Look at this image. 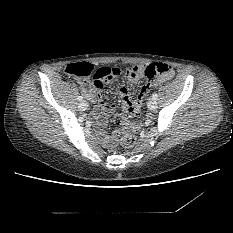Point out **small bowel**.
<instances>
[{
	"label": "small bowel",
	"mask_w": 233,
	"mask_h": 233,
	"mask_svg": "<svg viewBox=\"0 0 233 233\" xmlns=\"http://www.w3.org/2000/svg\"><path fill=\"white\" fill-rule=\"evenodd\" d=\"M115 75V71L113 70L112 73L106 75L100 80L90 81L89 79H78V84L80 85L84 94L94 102V113L99 120L104 119L106 115H110L114 112V106L103 101L101 92L103 90L105 82L111 81L112 77H114ZM128 81L131 84H135L137 82V79L128 78ZM165 81L166 77L160 76L156 79L155 85H162ZM148 90L149 87L147 85H144L134 102L130 101V91L127 86L120 87L119 95L124 105L129 103L139 108ZM98 136L103 142H109L110 140V136L103 130H98Z\"/></svg>",
	"instance_id": "small-bowel-1"
}]
</instances>
